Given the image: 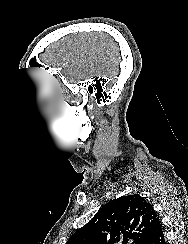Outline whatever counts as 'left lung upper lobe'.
<instances>
[{"label": "left lung upper lobe", "mask_w": 188, "mask_h": 244, "mask_svg": "<svg viewBox=\"0 0 188 244\" xmlns=\"http://www.w3.org/2000/svg\"><path fill=\"white\" fill-rule=\"evenodd\" d=\"M158 218L138 194L110 200L66 244H146Z\"/></svg>", "instance_id": "left-lung-upper-lobe-1"}]
</instances>
